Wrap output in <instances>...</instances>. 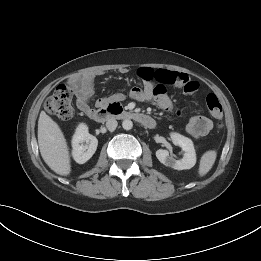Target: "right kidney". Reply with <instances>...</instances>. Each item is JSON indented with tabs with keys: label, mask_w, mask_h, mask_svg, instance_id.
Instances as JSON below:
<instances>
[{
	"label": "right kidney",
	"mask_w": 261,
	"mask_h": 261,
	"mask_svg": "<svg viewBox=\"0 0 261 261\" xmlns=\"http://www.w3.org/2000/svg\"><path fill=\"white\" fill-rule=\"evenodd\" d=\"M97 145L98 140L95 136L89 134L87 125L79 124L72 138L74 160L79 164L87 162L95 153Z\"/></svg>",
	"instance_id": "1"
}]
</instances>
